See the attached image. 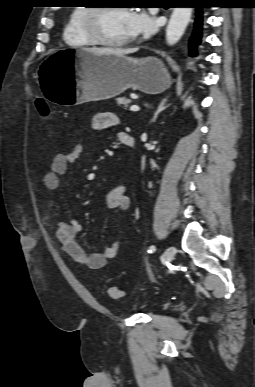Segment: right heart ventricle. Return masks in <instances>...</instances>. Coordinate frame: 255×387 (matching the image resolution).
Segmentation results:
<instances>
[{
    "mask_svg": "<svg viewBox=\"0 0 255 387\" xmlns=\"http://www.w3.org/2000/svg\"><path fill=\"white\" fill-rule=\"evenodd\" d=\"M87 7H74L65 23L63 30L64 42L73 48H85L95 43L88 37L83 27V17Z\"/></svg>",
    "mask_w": 255,
    "mask_h": 387,
    "instance_id": "right-heart-ventricle-1",
    "label": "right heart ventricle"
}]
</instances>
